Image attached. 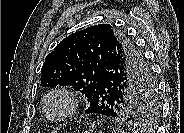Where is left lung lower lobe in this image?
<instances>
[{"label":"left lung lower lobe","mask_w":184,"mask_h":133,"mask_svg":"<svg viewBox=\"0 0 184 133\" xmlns=\"http://www.w3.org/2000/svg\"><path fill=\"white\" fill-rule=\"evenodd\" d=\"M117 63L114 57L110 59V56L103 61L101 81L94 91L89 102L90 107L85 113H96L114 118H119L122 114L130 90L126 88L122 66ZM141 88L148 96L152 95L150 84L141 81Z\"/></svg>","instance_id":"0a47b994"}]
</instances>
